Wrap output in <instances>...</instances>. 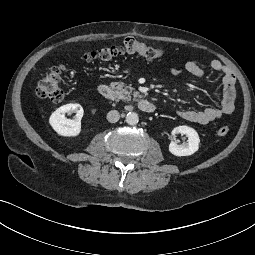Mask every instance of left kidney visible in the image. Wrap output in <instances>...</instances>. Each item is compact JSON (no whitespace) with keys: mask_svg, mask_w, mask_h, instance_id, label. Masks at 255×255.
Segmentation results:
<instances>
[{"mask_svg":"<svg viewBox=\"0 0 255 255\" xmlns=\"http://www.w3.org/2000/svg\"><path fill=\"white\" fill-rule=\"evenodd\" d=\"M180 133L185 135L188 140L186 145H178L176 142H171L169 151L175 156H189L194 154L199 149L200 138L195 129L189 126H178L173 129L172 135Z\"/></svg>","mask_w":255,"mask_h":255,"instance_id":"5707ae66","label":"left kidney"}]
</instances>
